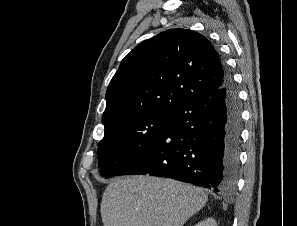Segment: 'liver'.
<instances>
[{"label": "liver", "instance_id": "liver-1", "mask_svg": "<svg viewBox=\"0 0 297 226\" xmlns=\"http://www.w3.org/2000/svg\"><path fill=\"white\" fill-rule=\"evenodd\" d=\"M207 200L203 189L172 179L120 177L105 189L101 217L104 226H183Z\"/></svg>", "mask_w": 297, "mask_h": 226}]
</instances>
